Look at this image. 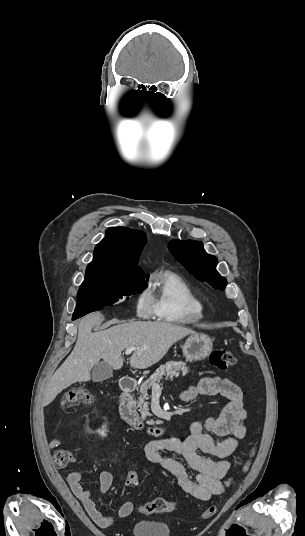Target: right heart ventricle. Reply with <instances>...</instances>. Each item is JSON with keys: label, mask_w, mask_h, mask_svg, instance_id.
I'll use <instances>...</instances> for the list:
<instances>
[{"label": "right heart ventricle", "mask_w": 305, "mask_h": 536, "mask_svg": "<svg viewBox=\"0 0 305 536\" xmlns=\"http://www.w3.org/2000/svg\"><path fill=\"white\" fill-rule=\"evenodd\" d=\"M153 310L168 322L191 324L204 318L205 307L192 288L170 271L156 273L149 286Z\"/></svg>", "instance_id": "e07e8e85"}]
</instances>
